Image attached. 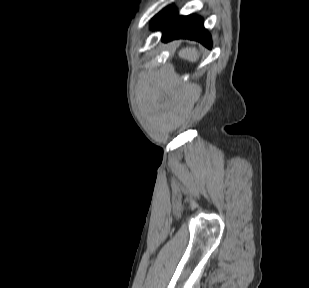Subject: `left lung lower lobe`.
Masks as SVG:
<instances>
[{
	"label": "left lung lower lobe",
	"instance_id": "1",
	"mask_svg": "<svg viewBox=\"0 0 309 288\" xmlns=\"http://www.w3.org/2000/svg\"><path fill=\"white\" fill-rule=\"evenodd\" d=\"M152 28L162 30V41H171L178 38H188L211 48L212 41L207 30L204 29L200 17L177 16L173 9H165L152 19Z\"/></svg>",
	"mask_w": 309,
	"mask_h": 288
}]
</instances>
